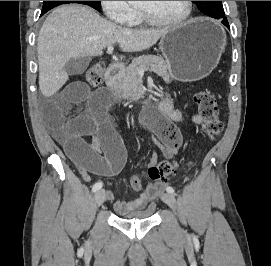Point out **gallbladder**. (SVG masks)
I'll return each instance as SVG.
<instances>
[{"label": "gallbladder", "mask_w": 271, "mask_h": 266, "mask_svg": "<svg viewBox=\"0 0 271 266\" xmlns=\"http://www.w3.org/2000/svg\"><path fill=\"white\" fill-rule=\"evenodd\" d=\"M91 59L89 57H77L72 58L65 65V71L68 75H80L83 74L90 64Z\"/></svg>", "instance_id": "1"}]
</instances>
